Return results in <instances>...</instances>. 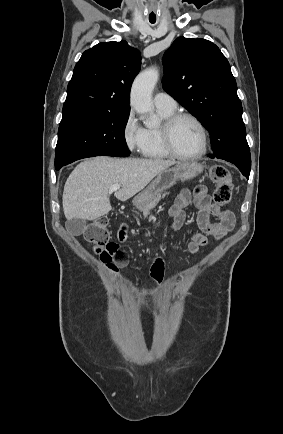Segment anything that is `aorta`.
Instances as JSON below:
<instances>
[{
  "instance_id": "762f6f07",
  "label": "aorta",
  "mask_w": 283,
  "mask_h": 434,
  "mask_svg": "<svg viewBox=\"0 0 283 434\" xmlns=\"http://www.w3.org/2000/svg\"><path fill=\"white\" fill-rule=\"evenodd\" d=\"M159 79L156 67H151L141 72L134 80L130 93V104L133 109L143 115H147L145 125L149 128L158 124L157 117L153 114L152 92Z\"/></svg>"
}]
</instances>
